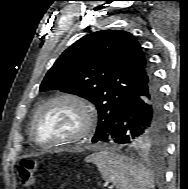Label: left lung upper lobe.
Wrapping results in <instances>:
<instances>
[{
	"mask_svg": "<svg viewBox=\"0 0 188 189\" xmlns=\"http://www.w3.org/2000/svg\"><path fill=\"white\" fill-rule=\"evenodd\" d=\"M154 77L150 63L136 38L126 31L90 33L69 48L47 72L40 91L59 89L95 104L99 120L92 142L115 123L134 91ZM163 134H144L135 148L162 146Z\"/></svg>",
	"mask_w": 188,
	"mask_h": 189,
	"instance_id": "obj_1",
	"label": "left lung upper lobe"
}]
</instances>
